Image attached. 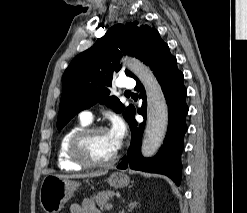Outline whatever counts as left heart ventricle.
<instances>
[{
    "mask_svg": "<svg viewBox=\"0 0 247 213\" xmlns=\"http://www.w3.org/2000/svg\"><path fill=\"white\" fill-rule=\"evenodd\" d=\"M85 149L91 160L99 162L109 160L117 151L109 131H102L90 137Z\"/></svg>",
    "mask_w": 247,
    "mask_h": 213,
    "instance_id": "b2bd125f",
    "label": "left heart ventricle"
}]
</instances>
